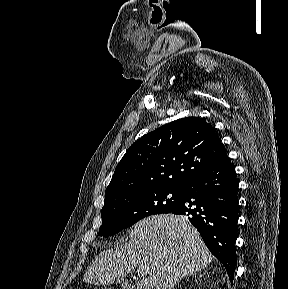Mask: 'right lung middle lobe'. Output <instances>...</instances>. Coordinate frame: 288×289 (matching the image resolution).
Segmentation results:
<instances>
[{
    "label": "right lung middle lobe",
    "instance_id": "right-lung-middle-lobe-1",
    "mask_svg": "<svg viewBox=\"0 0 288 289\" xmlns=\"http://www.w3.org/2000/svg\"><path fill=\"white\" fill-rule=\"evenodd\" d=\"M183 198L182 188H152L105 198L99 235L111 236L144 217L169 213Z\"/></svg>",
    "mask_w": 288,
    "mask_h": 289
}]
</instances>
